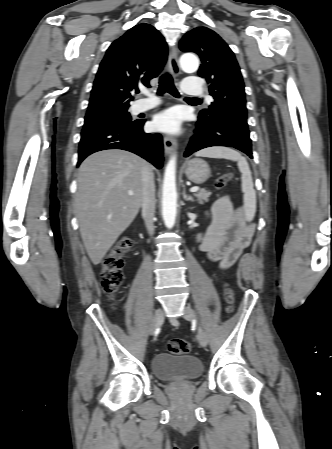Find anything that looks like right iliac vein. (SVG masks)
Segmentation results:
<instances>
[{
	"label": "right iliac vein",
	"mask_w": 332,
	"mask_h": 449,
	"mask_svg": "<svg viewBox=\"0 0 332 449\" xmlns=\"http://www.w3.org/2000/svg\"><path fill=\"white\" fill-rule=\"evenodd\" d=\"M163 319H164V315H163V311L162 309H157L152 321H151V325H150V329H149V333L150 335H153V333L155 332V330L162 325L163 323Z\"/></svg>",
	"instance_id": "1"
}]
</instances>
